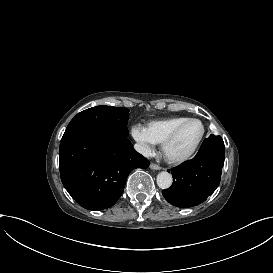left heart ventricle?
Instances as JSON below:
<instances>
[{"label": "left heart ventricle", "mask_w": 273, "mask_h": 273, "mask_svg": "<svg viewBox=\"0 0 273 273\" xmlns=\"http://www.w3.org/2000/svg\"><path fill=\"white\" fill-rule=\"evenodd\" d=\"M203 133V125L199 121L187 123L175 141L169 148V153L173 156H182L187 154L196 144Z\"/></svg>", "instance_id": "1"}]
</instances>
